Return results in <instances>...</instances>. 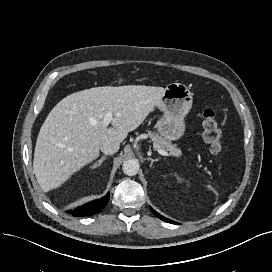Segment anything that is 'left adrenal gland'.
<instances>
[{"label": "left adrenal gland", "mask_w": 272, "mask_h": 272, "mask_svg": "<svg viewBox=\"0 0 272 272\" xmlns=\"http://www.w3.org/2000/svg\"><path fill=\"white\" fill-rule=\"evenodd\" d=\"M147 160H148V161H151V163H150V167H151V166L153 165L154 162L159 161V158L153 159V158H150V157H149Z\"/></svg>", "instance_id": "left-adrenal-gland-1"}]
</instances>
